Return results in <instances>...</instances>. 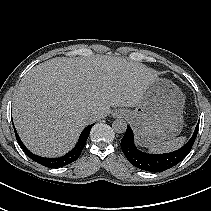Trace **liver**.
Here are the masks:
<instances>
[{
    "label": "liver",
    "instance_id": "liver-1",
    "mask_svg": "<svg viewBox=\"0 0 211 211\" xmlns=\"http://www.w3.org/2000/svg\"><path fill=\"white\" fill-rule=\"evenodd\" d=\"M155 79L152 69L120 57L52 58L22 78L13 102L14 124L30 151L61 156L110 107H136Z\"/></svg>",
    "mask_w": 211,
    "mask_h": 211
}]
</instances>
